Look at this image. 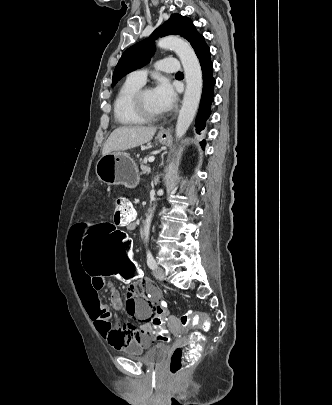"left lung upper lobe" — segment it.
I'll use <instances>...</instances> for the list:
<instances>
[{"instance_id":"obj_1","label":"left lung upper lobe","mask_w":332,"mask_h":405,"mask_svg":"<svg viewBox=\"0 0 332 405\" xmlns=\"http://www.w3.org/2000/svg\"><path fill=\"white\" fill-rule=\"evenodd\" d=\"M171 34L180 35L187 39L196 55L206 45L204 37L197 32L193 22L188 17L172 14L168 21L157 28L149 38L136 43L122 54L113 73L112 86L126 74L148 63L155 51L154 41L158 37Z\"/></svg>"}]
</instances>
